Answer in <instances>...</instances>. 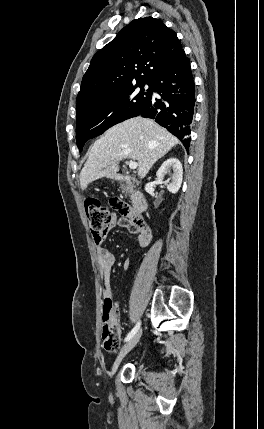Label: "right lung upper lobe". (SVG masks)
<instances>
[{"instance_id":"1","label":"right lung upper lobe","mask_w":264,"mask_h":429,"mask_svg":"<svg viewBox=\"0 0 264 429\" xmlns=\"http://www.w3.org/2000/svg\"><path fill=\"white\" fill-rule=\"evenodd\" d=\"M182 52L175 32L161 20H133L92 58L77 107L134 84H150Z\"/></svg>"}]
</instances>
